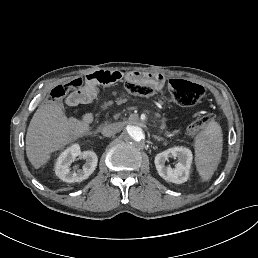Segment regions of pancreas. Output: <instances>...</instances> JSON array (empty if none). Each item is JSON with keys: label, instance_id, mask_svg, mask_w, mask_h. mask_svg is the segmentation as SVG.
Listing matches in <instances>:
<instances>
[{"label": "pancreas", "instance_id": "obj_1", "mask_svg": "<svg viewBox=\"0 0 258 258\" xmlns=\"http://www.w3.org/2000/svg\"><path fill=\"white\" fill-rule=\"evenodd\" d=\"M161 125H166V120H161Z\"/></svg>", "mask_w": 258, "mask_h": 258}]
</instances>
